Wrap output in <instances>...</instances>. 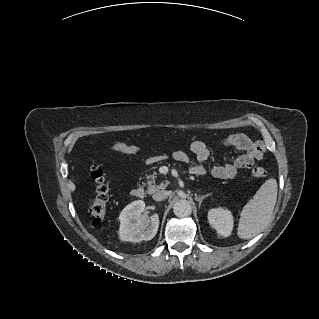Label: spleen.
Returning a JSON list of instances; mask_svg holds the SVG:
<instances>
[{
  "mask_svg": "<svg viewBox=\"0 0 319 319\" xmlns=\"http://www.w3.org/2000/svg\"><path fill=\"white\" fill-rule=\"evenodd\" d=\"M277 200V181L266 180L241 211L237 234L251 239L262 232L271 220Z\"/></svg>",
  "mask_w": 319,
  "mask_h": 319,
  "instance_id": "3e777b00",
  "label": "spleen"
}]
</instances>
